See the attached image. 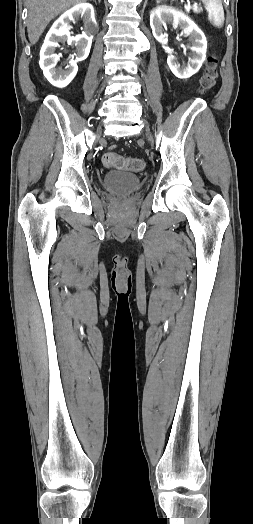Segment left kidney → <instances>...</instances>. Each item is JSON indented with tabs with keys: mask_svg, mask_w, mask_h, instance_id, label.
Segmentation results:
<instances>
[{
	"mask_svg": "<svg viewBox=\"0 0 253 524\" xmlns=\"http://www.w3.org/2000/svg\"><path fill=\"white\" fill-rule=\"evenodd\" d=\"M150 25L153 36L162 45L167 44V34L164 27L180 26L182 34L189 36L192 51L187 66H181L174 56H168L167 63L172 73L181 79H186L198 72L206 58L207 41L204 33L184 13L168 6H159L151 11Z\"/></svg>",
	"mask_w": 253,
	"mask_h": 524,
	"instance_id": "left-kidney-1",
	"label": "left kidney"
}]
</instances>
